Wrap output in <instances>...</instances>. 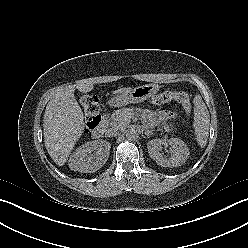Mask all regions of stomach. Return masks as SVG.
Listing matches in <instances>:
<instances>
[{
	"mask_svg": "<svg viewBox=\"0 0 248 248\" xmlns=\"http://www.w3.org/2000/svg\"><path fill=\"white\" fill-rule=\"evenodd\" d=\"M158 90L159 86L154 83L138 86L113 97L109 104L112 107H121L131 103L143 102L152 97Z\"/></svg>",
	"mask_w": 248,
	"mask_h": 248,
	"instance_id": "0dacf381",
	"label": "stomach"
}]
</instances>
